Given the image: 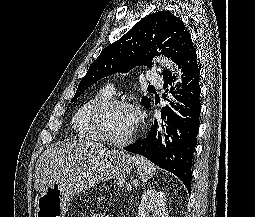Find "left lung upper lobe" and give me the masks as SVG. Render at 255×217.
Segmentation results:
<instances>
[{
	"instance_id": "obj_1",
	"label": "left lung upper lobe",
	"mask_w": 255,
	"mask_h": 217,
	"mask_svg": "<svg viewBox=\"0 0 255 217\" xmlns=\"http://www.w3.org/2000/svg\"><path fill=\"white\" fill-rule=\"evenodd\" d=\"M191 45L190 33L178 17L168 11L150 14L100 53L80 81L71 101L104 77L117 72L125 73L143 64L150 67L155 55H165L177 63L180 55ZM142 103L151 107L147 97L142 98Z\"/></svg>"
}]
</instances>
